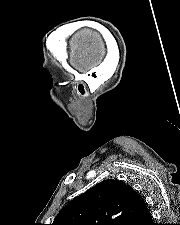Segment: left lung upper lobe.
I'll list each match as a JSON object with an SVG mask.
<instances>
[{
    "label": "left lung upper lobe",
    "mask_w": 180,
    "mask_h": 225,
    "mask_svg": "<svg viewBox=\"0 0 180 225\" xmlns=\"http://www.w3.org/2000/svg\"><path fill=\"white\" fill-rule=\"evenodd\" d=\"M146 208L130 186L109 179L69 202L52 225H126Z\"/></svg>",
    "instance_id": "obj_1"
}]
</instances>
